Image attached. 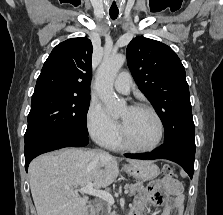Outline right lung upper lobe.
<instances>
[{"label": "right lung upper lobe", "mask_w": 223, "mask_h": 215, "mask_svg": "<svg viewBox=\"0 0 223 215\" xmlns=\"http://www.w3.org/2000/svg\"><path fill=\"white\" fill-rule=\"evenodd\" d=\"M92 51V43L85 37L58 44L43 65L34 94L90 97Z\"/></svg>", "instance_id": "right-lung-upper-lobe-1"}]
</instances>
